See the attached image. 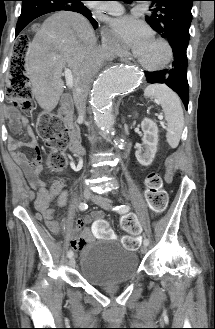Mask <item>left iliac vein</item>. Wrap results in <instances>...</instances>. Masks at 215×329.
I'll return each instance as SVG.
<instances>
[{"label": "left iliac vein", "mask_w": 215, "mask_h": 329, "mask_svg": "<svg viewBox=\"0 0 215 329\" xmlns=\"http://www.w3.org/2000/svg\"><path fill=\"white\" fill-rule=\"evenodd\" d=\"M91 200H92L95 204H97V205H99L100 207H102L103 209L110 210V204H109V202H108L106 199L102 198L101 196H98V195H92V196H91ZM141 252H142L143 254H145V253L147 252V245L144 244V245L141 247Z\"/></svg>", "instance_id": "1"}]
</instances>
